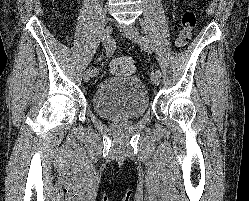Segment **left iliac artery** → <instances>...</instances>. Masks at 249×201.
<instances>
[{
    "label": "left iliac artery",
    "mask_w": 249,
    "mask_h": 201,
    "mask_svg": "<svg viewBox=\"0 0 249 201\" xmlns=\"http://www.w3.org/2000/svg\"><path fill=\"white\" fill-rule=\"evenodd\" d=\"M138 43L141 45V47L144 49V50H147V51H151V47H150V42H149V39L144 37V36H139L138 38ZM156 73L161 76L162 73L160 70H156Z\"/></svg>",
    "instance_id": "44dca946"
}]
</instances>
